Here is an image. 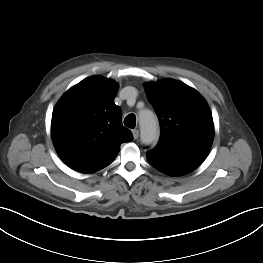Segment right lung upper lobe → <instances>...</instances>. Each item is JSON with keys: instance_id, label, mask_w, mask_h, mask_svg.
Wrapping results in <instances>:
<instances>
[{"instance_id": "obj_1", "label": "right lung upper lobe", "mask_w": 263, "mask_h": 263, "mask_svg": "<svg viewBox=\"0 0 263 263\" xmlns=\"http://www.w3.org/2000/svg\"><path fill=\"white\" fill-rule=\"evenodd\" d=\"M118 85L102 76L84 79L59 100L52 114L51 135L61 159L72 169L94 173L117 156L120 145L133 140L114 103Z\"/></svg>"}]
</instances>
